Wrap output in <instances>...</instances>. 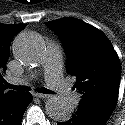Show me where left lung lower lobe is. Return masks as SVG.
Wrapping results in <instances>:
<instances>
[{"label": "left lung lower lobe", "mask_w": 125, "mask_h": 125, "mask_svg": "<svg viewBox=\"0 0 125 125\" xmlns=\"http://www.w3.org/2000/svg\"><path fill=\"white\" fill-rule=\"evenodd\" d=\"M111 114L78 106L72 116L66 122L57 125H105Z\"/></svg>", "instance_id": "left-lung-lower-lobe-1"}]
</instances>
